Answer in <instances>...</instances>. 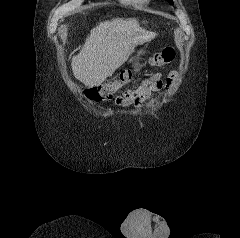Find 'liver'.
<instances>
[{"label":"liver","mask_w":240,"mask_h":238,"mask_svg":"<svg viewBox=\"0 0 240 238\" xmlns=\"http://www.w3.org/2000/svg\"><path fill=\"white\" fill-rule=\"evenodd\" d=\"M154 36L135 19L102 22L90 31L84 46L72 58L73 74L87 87L98 86L128 60L137 45Z\"/></svg>","instance_id":"obj_1"}]
</instances>
